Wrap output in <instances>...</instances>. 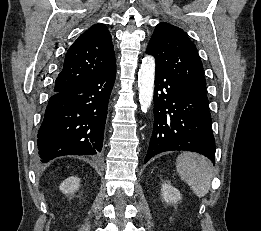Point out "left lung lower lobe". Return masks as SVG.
Instances as JSON below:
<instances>
[{
    "label": "left lung lower lobe",
    "instance_id": "obj_1",
    "mask_svg": "<svg viewBox=\"0 0 261 231\" xmlns=\"http://www.w3.org/2000/svg\"><path fill=\"white\" fill-rule=\"evenodd\" d=\"M173 150L197 152L215 163L209 103L156 68L153 132L144 163L161 152Z\"/></svg>",
    "mask_w": 261,
    "mask_h": 231
}]
</instances>
